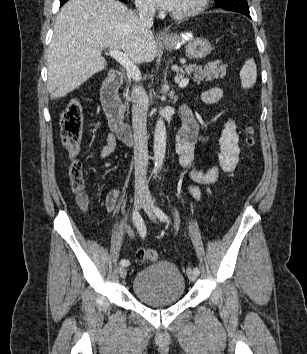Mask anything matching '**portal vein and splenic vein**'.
I'll use <instances>...</instances> for the list:
<instances>
[{
  "mask_svg": "<svg viewBox=\"0 0 307 354\" xmlns=\"http://www.w3.org/2000/svg\"><path fill=\"white\" fill-rule=\"evenodd\" d=\"M109 55L126 69L129 77L137 81L141 80V73L139 69L136 67L134 62H132L128 58V56L125 53L116 49H111L109 51ZM175 81L179 83L180 88L186 87L189 83L188 78L180 79L179 77H176Z\"/></svg>",
  "mask_w": 307,
  "mask_h": 354,
  "instance_id": "1",
  "label": "portal vein and splenic vein"
}]
</instances>
